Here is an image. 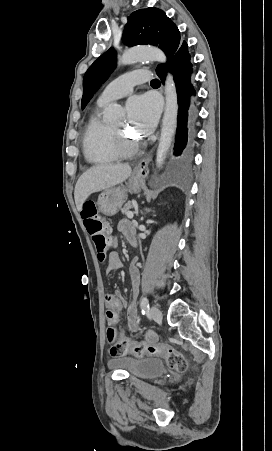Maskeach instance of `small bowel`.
I'll return each instance as SVG.
<instances>
[{"instance_id":"obj_1","label":"small bowel","mask_w":272,"mask_h":451,"mask_svg":"<svg viewBox=\"0 0 272 451\" xmlns=\"http://www.w3.org/2000/svg\"><path fill=\"white\" fill-rule=\"evenodd\" d=\"M117 230L125 235L129 240L131 237L135 236V228L133 223L128 219H123L119 221L117 225ZM109 232V230L107 229ZM130 241V240H129ZM109 243L113 246L116 245V239L113 236L109 237ZM122 267V261L115 251H111L108 255L106 271L110 272L113 270L120 269ZM129 277L131 282V289L134 296L137 295L140 285V271L138 264L134 261L129 269ZM122 309H125L126 321L128 328L132 332H136L139 329V317L134 304H128L123 295L116 291L113 294L107 296V317L110 321L116 322L119 319V315ZM148 340L151 342L156 341V336L154 334L148 335Z\"/></svg>"}]
</instances>
